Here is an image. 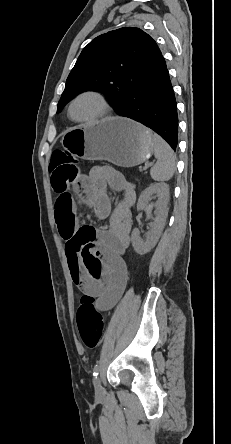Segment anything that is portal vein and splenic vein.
I'll return each instance as SVG.
<instances>
[{
	"mask_svg": "<svg viewBox=\"0 0 231 444\" xmlns=\"http://www.w3.org/2000/svg\"><path fill=\"white\" fill-rule=\"evenodd\" d=\"M148 166H149V165L145 166V168H144V169H147V168H148Z\"/></svg>",
	"mask_w": 231,
	"mask_h": 444,
	"instance_id": "portal-vein-and-splenic-vein-1",
	"label": "portal vein and splenic vein"
}]
</instances>
